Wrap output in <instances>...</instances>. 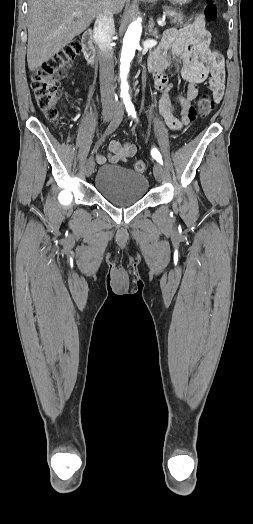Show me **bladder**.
I'll list each match as a JSON object with an SVG mask.
<instances>
[{
    "label": "bladder",
    "mask_w": 253,
    "mask_h": 524,
    "mask_svg": "<svg viewBox=\"0 0 253 524\" xmlns=\"http://www.w3.org/2000/svg\"><path fill=\"white\" fill-rule=\"evenodd\" d=\"M149 187L147 177L122 166L103 165L95 176V188L109 203L133 205L144 198Z\"/></svg>",
    "instance_id": "1"
}]
</instances>
